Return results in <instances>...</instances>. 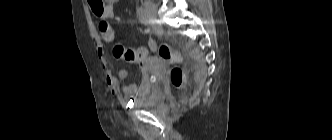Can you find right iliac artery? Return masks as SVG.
Here are the masks:
<instances>
[{
	"mask_svg": "<svg viewBox=\"0 0 332 140\" xmlns=\"http://www.w3.org/2000/svg\"><path fill=\"white\" fill-rule=\"evenodd\" d=\"M137 14H138V17H139L141 22H143V23L148 22V18H147V14H146L145 9H143L142 7H139L137 9Z\"/></svg>",
	"mask_w": 332,
	"mask_h": 140,
	"instance_id": "obj_1",
	"label": "right iliac artery"
}]
</instances>
